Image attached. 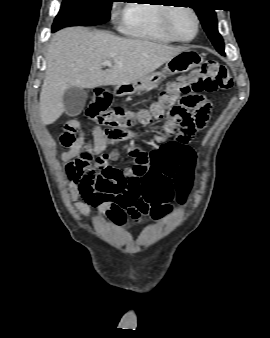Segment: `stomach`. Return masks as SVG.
Listing matches in <instances>:
<instances>
[{
    "label": "stomach",
    "mask_w": 270,
    "mask_h": 338,
    "mask_svg": "<svg viewBox=\"0 0 270 338\" xmlns=\"http://www.w3.org/2000/svg\"><path fill=\"white\" fill-rule=\"evenodd\" d=\"M200 63L201 57L196 51L185 50L168 60L162 72L149 73L132 83L118 86L117 90L120 95L140 93L156 87L166 75L185 73Z\"/></svg>",
    "instance_id": "1"
}]
</instances>
